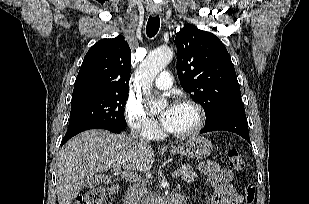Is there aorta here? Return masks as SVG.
<instances>
[{"mask_svg": "<svg viewBox=\"0 0 309 204\" xmlns=\"http://www.w3.org/2000/svg\"><path fill=\"white\" fill-rule=\"evenodd\" d=\"M173 51L170 48H160L151 52L139 65L136 74L142 85L143 94L151 95V86L158 75L170 63ZM160 104L154 102L151 110L156 111Z\"/></svg>", "mask_w": 309, "mask_h": 204, "instance_id": "1", "label": "aorta"}]
</instances>
